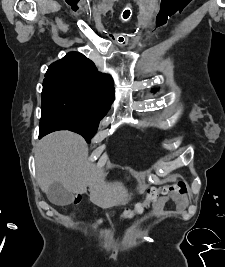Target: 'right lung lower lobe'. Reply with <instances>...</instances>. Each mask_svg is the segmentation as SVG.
Returning a JSON list of instances; mask_svg holds the SVG:
<instances>
[{"label": "right lung lower lobe", "mask_w": 225, "mask_h": 267, "mask_svg": "<svg viewBox=\"0 0 225 267\" xmlns=\"http://www.w3.org/2000/svg\"><path fill=\"white\" fill-rule=\"evenodd\" d=\"M57 130H65V127L61 123L54 119H42L40 120L39 126V138H42L44 135L51 133Z\"/></svg>", "instance_id": "98d812e1"}]
</instances>
